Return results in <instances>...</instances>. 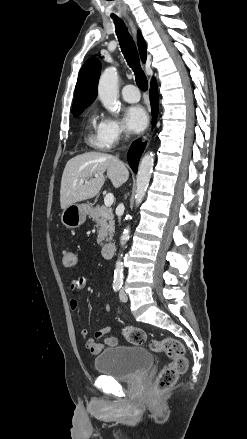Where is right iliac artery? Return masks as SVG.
<instances>
[{"label":"right iliac artery","instance_id":"right-iliac-artery-1","mask_svg":"<svg viewBox=\"0 0 247 439\" xmlns=\"http://www.w3.org/2000/svg\"><path fill=\"white\" fill-rule=\"evenodd\" d=\"M121 287H122V284L116 283V284L113 285V290L115 292H117V291L120 290Z\"/></svg>","mask_w":247,"mask_h":439}]
</instances>
